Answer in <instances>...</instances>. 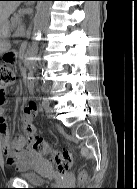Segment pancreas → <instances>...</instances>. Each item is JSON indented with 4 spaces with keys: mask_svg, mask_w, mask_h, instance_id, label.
Instances as JSON below:
<instances>
[{
    "mask_svg": "<svg viewBox=\"0 0 137 189\" xmlns=\"http://www.w3.org/2000/svg\"><path fill=\"white\" fill-rule=\"evenodd\" d=\"M22 11L19 10L17 13H15L13 15V17L11 18V22H12V27L13 29H15L17 26L21 27L22 26Z\"/></svg>",
    "mask_w": 137,
    "mask_h": 189,
    "instance_id": "1",
    "label": "pancreas"
}]
</instances>
